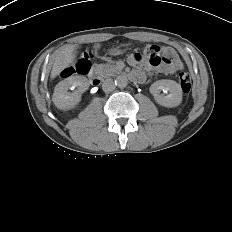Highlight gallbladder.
I'll return each mask as SVG.
<instances>
[{"label":"gallbladder","mask_w":232,"mask_h":232,"mask_svg":"<svg viewBox=\"0 0 232 232\" xmlns=\"http://www.w3.org/2000/svg\"><path fill=\"white\" fill-rule=\"evenodd\" d=\"M95 48H99V45H96Z\"/></svg>","instance_id":"bac80fb5"}]
</instances>
